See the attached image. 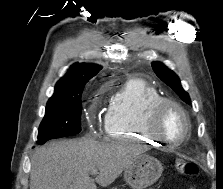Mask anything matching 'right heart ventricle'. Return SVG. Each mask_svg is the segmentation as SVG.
<instances>
[{
    "instance_id": "e07e8e85",
    "label": "right heart ventricle",
    "mask_w": 223,
    "mask_h": 189,
    "mask_svg": "<svg viewBox=\"0 0 223 189\" xmlns=\"http://www.w3.org/2000/svg\"><path fill=\"white\" fill-rule=\"evenodd\" d=\"M161 98L159 92L142 80H129L110 98L105 114L107 139H134L159 144L145 130L146 113Z\"/></svg>"
}]
</instances>
